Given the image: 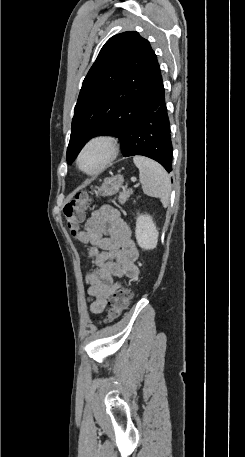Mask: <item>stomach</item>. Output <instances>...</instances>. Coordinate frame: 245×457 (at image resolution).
I'll list each match as a JSON object with an SVG mask.
<instances>
[{"instance_id": "obj_1", "label": "stomach", "mask_w": 245, "mask_h": 457, "mask_svg": "<svg viewBox=\"0 0 245 457\" xmlns=\"http://www.w3.org/2000/svg\"><path fill=\"white\" fill-rule=\"evenodd\" d=\"M124 182L123 174H115V176H108L103 180L101 186H98V190H95V194H101V196H111L116 194L120 190Z\"/></svg>"}]
</instances>
